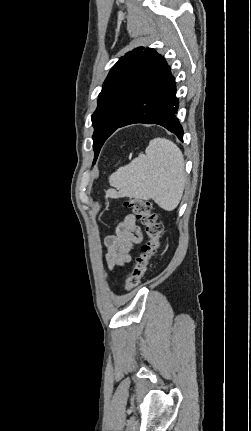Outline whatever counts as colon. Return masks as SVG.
I'll return each instance as SVG.
<instances>
[{"instance_id": "1", "label": "colon", "mask_w": 251, "mask_h": 431, "mask_svg": "<svg viewBox=\"0 0 251 431\" xmlns=\"http://www.w3.org/2000/svg\"><path fill=\"white\" fill-rule=\"evenodd\" d=\"M135 214L144 227L148 240L141 247L140 254L136 257L132 271L126 281V290L131 292L141 283L150 260L157 254L160 248V237L163 226L158 220V215L153 210L151 202L139 198H132L123 202Z\"/></svg>"}]
</instances>
